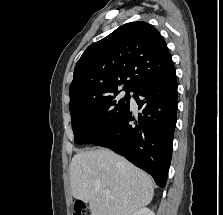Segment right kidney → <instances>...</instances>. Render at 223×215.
Here are the masks:
<instances>
[{"mask_svg": "<svg viewBox=\"0 0 223 215\" xmlns=\"http://www.w3.org/2000/svg\"><path fill=\"white\" fill-rule=\"evenodd\" d=\"M130 215H155L154 211L148 209V207H141L138 211H134V213H130Z\"/></svg>", "mask_w": 223, "mask_h": 215, "instance_id": "right-kidney-1", "label": "right kidney"}]
</instances>
